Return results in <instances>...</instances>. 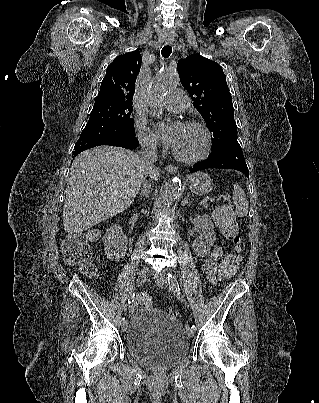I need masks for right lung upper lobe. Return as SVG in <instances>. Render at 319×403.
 <instances>
[{"label": "right lung upper lobe", "instance_id": "right-lung-upper-lobe-1", "mask_svg": "<svg viewBox=\"0 0 319 403\" xmlns=\"http://www.w3.org/2000/svg\"><path fill=\"white\" fill-rule=\"evenodd\" d=\"M141 59L138 51L116 57L107 67L95 102L132 105L135 81L141 68Z\"/></svg>", "mask_w": 319, "mask_h": 403}]
</instances>
